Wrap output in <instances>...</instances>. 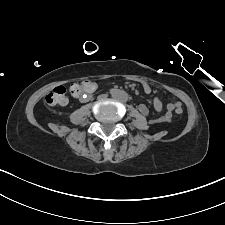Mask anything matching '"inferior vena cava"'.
<instances>
[{
    "instance_id": "602c4592",
    "label": "inferior vena cava",
    "mask_w": 225,
    "mask_h": 225,
    "mask_svg": "<svg viewBox=\"0 0 225 225\" xmlns=\"http://www.w3.org/2000/svg\"><path fill=\"white\" fill-rule=\"evenodd\" d=\"M101 97H102V98H105V97H106V95H104V94H103V95H101Z\"/></svg>"
}]
</instances>
